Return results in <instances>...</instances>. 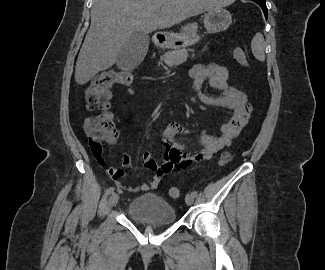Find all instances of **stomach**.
I'll return each mask as SVG.
<instances>
[{"instance_id":"0dacf381","label":"stomach","mask_w":325,"mask_h":270,"mask_svg":"<svg viewBox=\"0 0 325 270\" xmlns=\"http://www.w3.org/2000/svg\"><path fill=\"white\" fill-rule=\"evenodd\" d=\"M232 23V16L229 11L223 8L210 9L204 15V25L209 33H217L226 30ZM200 37L197 33H182L168 35L165 46L168 48H179L198 42Z\"/></svg>"}]
</instances>
